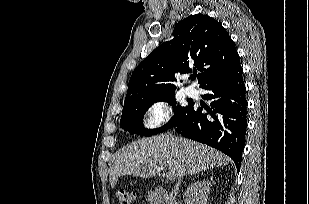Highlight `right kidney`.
<instances>
[{"label": "right kidney", "mask_w": 309, "mask_h": 204, "mask_svg": "<svg viewBox=\"0 0 309 204\" xmlns=\"http://www.w3.org/2000/svg\"><path fill=\"white\" fill-rule=\"evenodd\" d=\"M210 183L208 181H197L185 191L183 198L186 204H207Z\"/></svg>", "instance_id": "obj_1"}]
</instances>
